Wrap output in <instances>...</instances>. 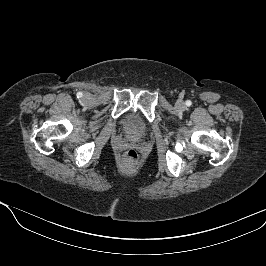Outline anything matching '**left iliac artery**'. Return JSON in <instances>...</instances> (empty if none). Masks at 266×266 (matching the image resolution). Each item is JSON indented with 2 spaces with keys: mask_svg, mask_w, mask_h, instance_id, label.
Instances as JSON below:
<instances>
[{
  "mask_svg": "<svg viewBox=\"0 0 266 266\" xmlns=\"http://www.w3.org/2000/svg\"><path fill=\"white\" fill-rule=\"evenodd\" d=\"M186 105H187V106H190V105H191V101H190V100H187V101H186Z\"/></svg>",
  "mask_w": 266,
  "mask_h": 266,
  "instance_id": "left-iliac-artery-1",
  "label": "left iliac artery"
}]
</instances>
